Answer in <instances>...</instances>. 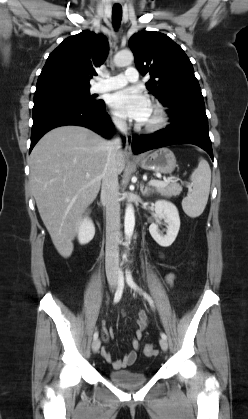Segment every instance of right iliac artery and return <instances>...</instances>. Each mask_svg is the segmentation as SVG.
Listing matches in <instances>:
<instances>
[{
	"instance_id": "right-iliac-artery-1",
	"label": "right iliac artery",
	"mask_w": 248,
	"mask_h": 419,
	"mask_svg": "<svg viewBox=\"0 0 248 419\" xmlns=\"http://www.w3.org/2000/svg\"><path fill=\"white\" fill-rule=\"evenodd\" d=\"M123 289H124V276H123V272L119 270L118 287L114 296V303L119 302V300L121 299ZM93 338L94 340L98 338V331H95Z\"/></svg>"
}]
</instances>
